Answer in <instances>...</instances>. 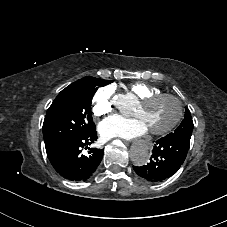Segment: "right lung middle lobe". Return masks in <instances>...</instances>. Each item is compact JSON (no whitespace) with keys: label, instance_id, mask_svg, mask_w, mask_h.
I'll return each instance as SVG.
<instances>
[{"label":"right lung middle lobe","instance_id":"obj_1","mask_svg":"<svg viewBox=\"0 0 227 227\" xmlns=\"http://www.w3.org/2000/svg\"><path fill=\"white\" fill-rule=\"evenodd\" d=\"M94 77H84L63 89L47 110L43 123L45 147L95 128L91 101L98 87L111 83Z\"/></svg>","mask_w":227,"mask_h":227}]
</instances>
